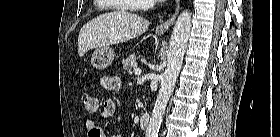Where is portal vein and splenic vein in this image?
<instances>
[{
	"label": "portal vein and splenic vein",
	"mask_w": 280,
	"mask_h": 137,
	"mask_svg": "<svg viewBox=\"0 0 280 137\" xmlns=\"http://www.w3.org/2000/svg\"><path fill=\"white\" fill-rule=\"evenodd\" d=\"M134 73H135V75H140L141 74V69L136 68Z\"/></svg>",
	"instance_id": "obj_1"
}]
</instances>
